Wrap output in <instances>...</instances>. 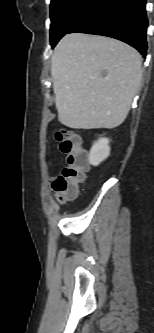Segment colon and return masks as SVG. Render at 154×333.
I'll return each mask as SVG.
<instances>
[{"mask_svg":"<svg viewBox=\"0 0 154 333\" xmlns=\"http://www.w3.org/2000/svg\"><path fill=\"white\" fill-rule=\"evenodd\" d=\"M61 152L67 155L66 166L52 183V192L59 202L73 199L88 169L87 156L80 138L68 129L55 133Z\"/></svg>","mask_w":154,"mask_h":333,"instance_id":"1","label":"colon"}]
</instances>
